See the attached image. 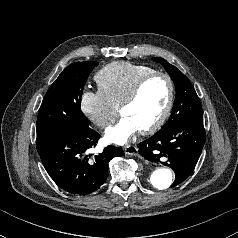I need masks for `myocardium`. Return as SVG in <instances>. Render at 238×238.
Masks as SVG:
<instances>
[{
  "label": "myocardium",
  "mask_w": 238,
  "mask_h": 238,
  "mask_svg": "<svg viewBox=\"0 0 238 238\" xmlns=\"http://www.w3.org/2000/svg\"><path fill=\"white\" fill-rule=\"evenodd\" d=\"M156 78H163L167 82L168 89H169L168 100H167L164 110L162 111V113L158 117V119L150 126L139 130L140 133L144 134V135L156 132L166 122L167 118L169 117V115L171 113V110H172L173 104H174V99H175V86H174V82H173L172 78L168 74L163 73V72H153L151 74H148V75L142 77L134 85V87L132 88V90L130 91L128 96L120 104V112L122 113L124 108L130 106L138 99V97L141 94L145 85L148 82H150L151 80L156 79Z\"/></svg>",
  "instance_id": "1"
}]
</instances>
